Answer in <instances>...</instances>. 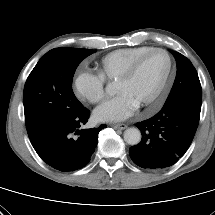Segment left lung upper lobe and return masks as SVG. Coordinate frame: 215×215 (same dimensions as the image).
I'll use <instances>...</instances> for the list:
<instances>
[{"label": "left lung upper lobe", "instance_id": "obj_1", "mask_svg": "<svg viewBox=\"0 0 215 215\" xmlns=\"http://www.w3.org/2000/svg\"><path fill=\"white\" fill-rule=\"evenodd\" d=\"M170 52L177 62V74L163 107L173 102H181L200 112L202 89L197 71L188 58L178 52Z\"/></svg>", "mask_w": 215, "mask_h": 215}]
</instances>
